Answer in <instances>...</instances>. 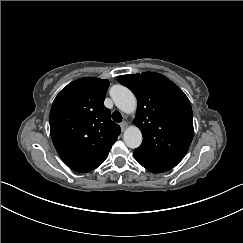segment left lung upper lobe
I'll list each match as a JSON object with an SVG mask.
<instances>
[{
	"instance_id": "1",
	"label": "left lung upper lobe",
	"mask_w": 243,
	"mask_h": 243,
	"mask_svg": "<svg viewBox=\"0 0 243 243\" xmlns=\"http://www.w3.org/2000/svg\"><path fill=\"white\" fill-rule=\"evenodd\" d=\"M117 80L138 100L133 122L140 128L143 141L134 153L157 165L173 168L183 159L193 138L189 99L159 73L121 75Z\"/></svg>"
}]
</instances>
